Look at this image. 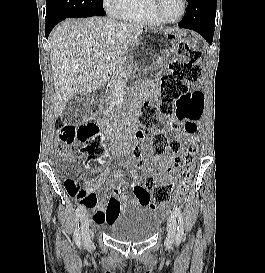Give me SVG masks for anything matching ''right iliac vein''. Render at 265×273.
I'll return each mask as SVG.
<instances>
[{"label":"right iliac vein","instance_id":"63e3f726","mask_svg":"<svg viewBox=\"0 0 265 273\" xmlns=\"http://www.w3.org/2000/svg\"><path fill=\"white\" fill-rule=\"evenodd\" d=\"M89 225H90V221H89L88 215L83 214L80 220V228H81L83 243L87 247L92 245V238H91Z\"/></svg>","mask_w":265,"mask_h":273}]
</instances>
